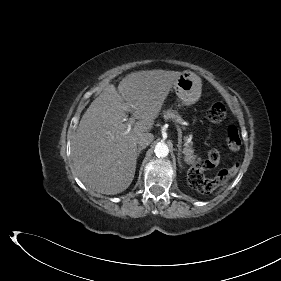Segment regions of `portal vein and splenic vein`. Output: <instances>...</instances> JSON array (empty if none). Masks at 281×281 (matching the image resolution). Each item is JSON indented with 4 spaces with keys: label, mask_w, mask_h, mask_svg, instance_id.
Listing matches in <instances>:
<instances>
[{
    "label": "portal vein and splenic vein",
    "mask_w": 281,
    "mask_h": 281,
    "mask_svg": "<svg viewBox=\"0 0 281 281\" xmlns=\"http://www.w3.org/2000/svg\"><path fill=\"white\" fill-rule=\"evenodd\" d=\"M128 106H125V110H128ZM135 122V119L134 118H129V123L127 124V129H126V134L127 133H129L130 131H131V125L133 124ZM177 131L179 132V133H181V129L179 128V126H177ZM183 151H184V149H183ZM182 151V152H183Z\"/></svg>",
    "instance_id": "obj_1"
}]
</instances>
